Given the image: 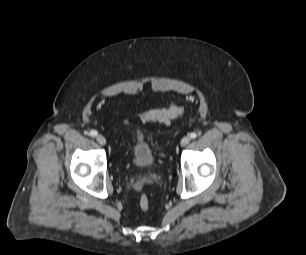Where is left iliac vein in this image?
I'll use <instances>...</instances> for the list:
<instances>
[{
    "label": "left iliac vein",
    "instance_id": "left-iliac-vein-1",
    "mask_svg": "<svg viewBox=\"0 0 306 255\" xmlns=\"http://www.w3.org/2000/svg\"><path fill=\"white\" fill-rule=\"evenodd\" d=\"M190 141H191V138L189 136H185L181 139L180 144L182 147H185L190 143Z\"/></svg>",
    "mask_w": 306,
    "mask_h": 255
}]
</instances>
